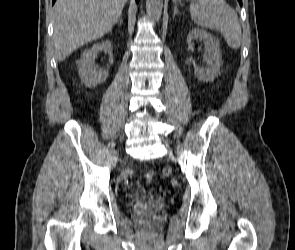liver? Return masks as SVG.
Instances as JSON below:
<instances>
[{
    "label": "liver",
    "instance_id": "liver-1",
    "mask_svg": "<svg viewBox=\"0 0 295 250\" xmlns=\"http://www.w3.org/2000/svg\"><path fill=\"white\" fill-rule=\"evenodd\" d=\"M127 0H57L54 5V45L63 61L85 43L111 31Z\"/></svg>",
    "mask_w": 295,
    "mask_h": 250
}]
</instances>
